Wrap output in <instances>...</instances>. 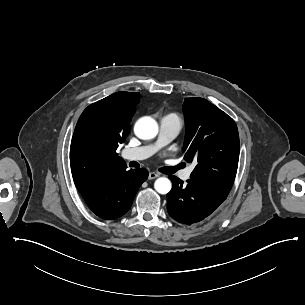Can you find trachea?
Returning a JSON list of instances; mask_svg holds the SVG:
<instances>
[{"label": "trachea", "mask_w": 305, "mask_h": 305, "mask_svg": "<svg viewBox=\"0 0 305 305\" xmlns=\"http://www.w3.org/2000/svg\"><path fill=\"white\" fill-rule=\"evenodd\" d=\"M184 167L185 166H183L182 164H178L177 166H174V167H163V168H160L159 171L161 173L169 175V174L175 173L176 171H178L179 169H182Z\"/></svg>", "instance_id": "3493384b"}]
</instances>
